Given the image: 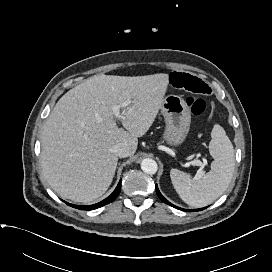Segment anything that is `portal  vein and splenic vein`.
<instances>
[{
    "instance_id": "18ae733b",
    "label": "portal vein and splenic vein",
    "mask_w": 272,
    "mask_h": 272,
    "mask_svg": "<svg viewBox=\"0 0 272 272\" xmlns=\"http://www.w3.org/2000/svg\"><path fill=\"white\" fill-rule=\"evenodd\" d=\"M130 103H131V100H127L121 105L112 106V111L116 119H119L121 117L120 109L127 107ZM190 164L194 166H200L201 168L204 167L203 163L200 160H193L190 162ZM202 175H203V171L199 173V176H202Z\"/></svg>"
}]
</instances>
